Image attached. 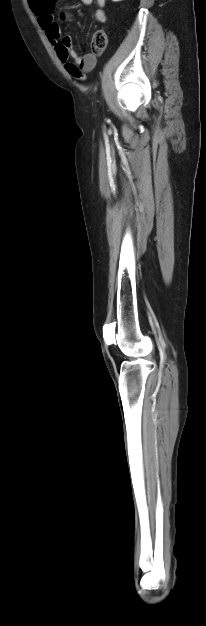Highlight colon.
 Wrapping results in <instances>:
<instances>
[{
  "instance_id": "1",
  "label": "colon",
  "mask_w": 206,
  "mask_h": 626,
  "mask_svg": "<svg viewBox=\"0 0 206 626\" xmlns=\"http://www.w3.org/2000/svg\"><path fill=\"white\" fill-rule=\"evenodd\" d=\"M108 39L103 30H97L91 40V49L95 55H101L107 47Z\"/></svg>"
}]
</instances>
